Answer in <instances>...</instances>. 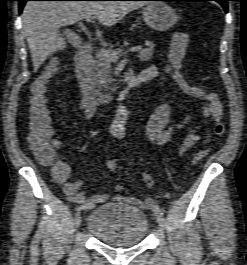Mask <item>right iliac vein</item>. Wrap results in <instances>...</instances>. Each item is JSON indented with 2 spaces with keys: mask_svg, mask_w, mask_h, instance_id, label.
<instances>
[{
  "mask_svg": "<svg viewBox=\"0 0 247 265\" xmlns=\"http://www.w3.org/2000/svg\"><path fill=\"white\" fill-rule=\"evenodd\" d=\"M81 224V214L80 212H77L74 217V225L75 227H79Z\"/></svg>",
  "mask_w": 247,
  "mask_h": 265,
  "instance_id": "obj_1",
  "label": "right iliac vein"
}]
</instances>
